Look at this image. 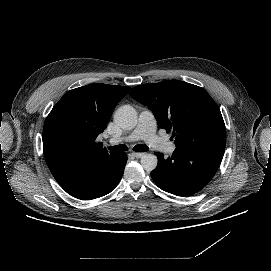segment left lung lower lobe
I'll return each instance as SVG.
<instances>
[{
	"label": "left lung lower lobe",
	"instance_id": "0a47b994",
	"mask_svg": "<svg viewBox=\"0 0 271 271\" xmlns=\"http://www.w3.org/2000/svg\"><path fill=\"white\" fill-rule=\"evenodd\" d=\"M158 156L157 167L151 172L155 184L178 196L199 192L212 179L224 150L212 147H176L171 157Z\"/></svg>",
	"mask_w": 271,
	"mask_h": 271
}]
</instances>
